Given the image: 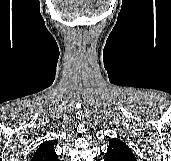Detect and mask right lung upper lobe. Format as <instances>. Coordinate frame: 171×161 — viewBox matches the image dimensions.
Wrapping results in <instances>:
<instances>
[{
    "label": "right lung upper lobe",
    "instance_id": "obj_1",
    "mask_svg": "<svg viewBox=\"0 0 171 161\" xmlns=\"http://www.w3.org/2000/svg\"><path fill=\"white\" fill-rule=\"evenodd\" d=\"M31 161H58L54 144L50 141L43 142L36 152H34Z\"/></svg>",
    "mask_w": 171,
    "mask_h": 161
}]
</instances>
